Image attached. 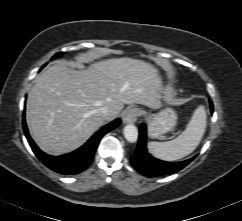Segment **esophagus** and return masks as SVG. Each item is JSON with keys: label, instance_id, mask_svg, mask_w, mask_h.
Instances as JSON below:
<instances>
[{"label": "esophagus", "instance_id": "34e87169", "mask_svg": "<svg viewBox=\"0 0 242 221\" xmlns=\"http://www.w3.org/2000/svg\"><path fill=\"white\" fill-rule=\"evenodd\" d=\"M139 115V110L137 108H130L126 110L123 114L124 123H134Z\"/></svg>", "mask_w": 242, "mask_h": 221}]
</instances>
